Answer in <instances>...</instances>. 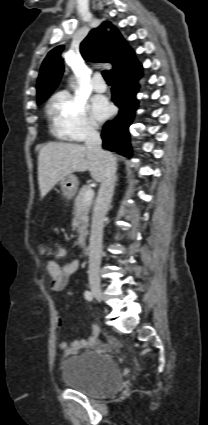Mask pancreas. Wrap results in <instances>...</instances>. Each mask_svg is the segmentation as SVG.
I'll return each instance as SVG.
<instances>
[{
  "mask_svg": "<svg viewBox=\"0 0 208 425\" xmlns=\"http://www.w3.org/2000/svg\"><path fill=\"white\" fill-rule=\"evenodd\" d=\"M91 189L90 186H83L77 195L73 207V229L77 230L78 240L76 244L80 247L85 245V238L88 234L89 226V211L92 205V200L84 202V195L86 191Z\"/></svg>",
  "mask_w": 208,
  "mask_h": 425,
  "instance_id": "cf45deb5",
  "label": "pancreas"
}]
</instances>
